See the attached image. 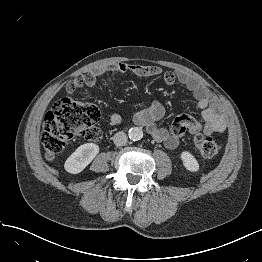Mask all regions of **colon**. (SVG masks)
<instances>
[{
    "label": "colon",
    "instance_id": "5ec220e1",
    "mask_svg": "<svg viewBox=\"0 0 262 262\" xmlns=\"http://www.w3.org/2000/svg\"><path fill=\"white\" fill-rule=\"evenodd\" d=\"M91 80V74L86 73L69 82L66 85L68 96L58 100L46 114L41 130V140L47 160H53L55 155L63 151L67 143L75 137L88 140L99 137V131L96 128L100 118L99 108L92 103L74 98L75 92ZM193 143L205 158L215 157L222 150L219 143L201 134L194 136Z\"/></svg>",
    "mask_w": 262,
    "mask_h": 262
}]
</instances>
